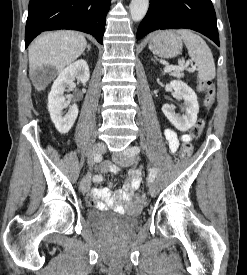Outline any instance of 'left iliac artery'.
Instances as JSON below:
<instances>
[{"label":"left iliac artery","mask_w":247,"mask_h":275,"mask_svg":"<svg viewBox=\"0 0 247 275\" xmlns=\"http://www.w3.org/2000/svg\"><path fill=\"white\" fill-rule=\"evenodd\" d=\"M140 152V148L139 147H134V149L132 150V153L138 154ZM157 175V170L156 168H151L150 172H149V177H148V183H152Z\"/></svg>","instance_id":"1"}]
</instances>
